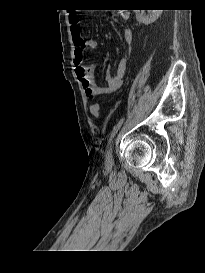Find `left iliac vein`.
<instances>
[{
	"label": "left iliac vein",
	"instance_id": "1",
	"mask_svg": "<svg viewBox=\"0 0 205 273\" xmlns=\"http://www.w3.org/2000/svg\"><path fill=\"white\" fill-rule=\"evenodd\" d=\"M107 162L111 163L113 161V144L110 145L109 151L106 156Z\"/></svg>",
	"mask_w": 205,
	"mask_h": 273
}]
</instances>
